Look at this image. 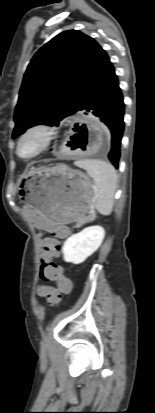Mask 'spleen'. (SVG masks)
<instances>
[{
	"mask_svg": "<svg viewBox=\"0 0 155 413\" xmlns=\"http://www.w3.org/2000/svg\"><path fill=\"white\" fill-rule=\"evenodd\" d=\"M74 164L86 170L94 181L97 211L104 216L110 215L117 187L115 168L108 162L95 159L79 160Z\"/></svg>",
	"mask_w": 155,
	"mask_h": 413,
	"instance_id": "3e777b00",
	"label": "spleen"
}]
</instances>
